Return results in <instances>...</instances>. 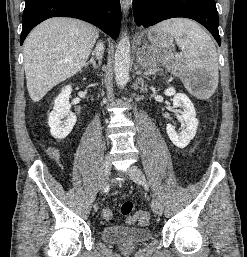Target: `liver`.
Masks as SVG:
<instances>
[{"mask_svg": "<svg viewBox=\"0 0 247 257\" xmlns=\"http://www.w3.org/2000/svg\"><path fill=\"white\" fill-rule=\"evenodd\" d=\"M98 35L95 26L66 17L50 18L31 31L24 43V69L33 102L82 69Z\"/></svg>", "mask_w": 247, "mask_h": 257, "instance_id": "6515ba94", "label": "liver"}]
</instances>
